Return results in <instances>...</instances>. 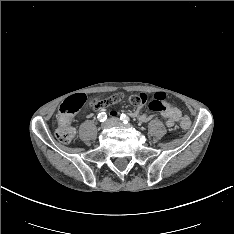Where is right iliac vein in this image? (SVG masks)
Here are the masks:
<instances>
[{
  "instance_id": "1",
  "label": "right iliac vein",
  "mask_w": 234,
  "mask_h": 234,
  "mask_svg": "<svg viewBox=\"0 0 234 234\" xmlns=\"http://www.w3.org/2000/svg\"><path fill=\"white\" fill-rule=\"evenodd\" d=\"M111 127V122L108 120L102 124V129H108Z\"/></svg>"
}]
</instances>
